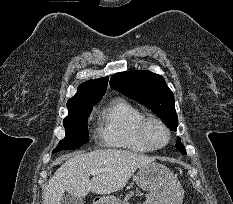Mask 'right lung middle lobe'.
<instances>
[{"label": "right lung middle lobe", "instance_id": "dd1d6c3e", "mask_svg": "<svg viewBox=\"0 0 233 204\" xmlns=\"http://www.w3.org/2000/svg\"><path fill=\"white\" fill-rule=\"evenodd\" d=\"M93 105L68 109L69 115L63 120L66 129V137L59 142L52 153L63 149L73 150L81 147L89 141L87 119Z\"/></svg>", "mask_w": 233, "mask_h": 204}]
</instances>
